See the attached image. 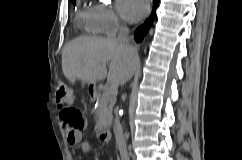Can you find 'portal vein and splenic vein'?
I'll list each match as a JSON object with an SVG mask.
<instances>
[{
	"mask_svg": "<svg viewBox=\"0 0 242 160\" xmlns=\"http://www.w3.org/2000/svg\"><path fill=\"white\" fill-rule=\"evenodd\" d=\"M111 91H110V89H106L104 92H103V98L104 99H109L110 98V95H111Z\"/></svg>",
	"mask_w": 242,
	"mask_h": 160,
	"instance_id": "18ae733b",
	"label": "portal vein and splenic vein"
}]
</instances>
